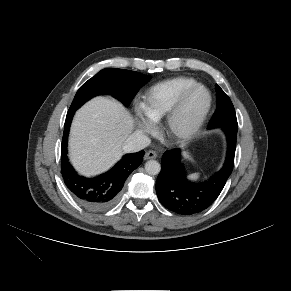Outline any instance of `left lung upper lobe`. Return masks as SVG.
<instances>
[{"mask_svg":"<svg viewBox=\"0 0 291 291\" xmlns=\"http://www.w3.org/2000/svg\"><path fill=\"white\" fill-rule=\"evenodd\" d=\"M216 92L217 107L208 126H217L222 123L238 125L236 113L230 98L223 92V90L218 85H216Z\"/></svg>","mask_w":291,"mask_h":291,"instance_id":"left-lung-upper-lobe-1","label":"left lung upper lobe"}]
</instances>
